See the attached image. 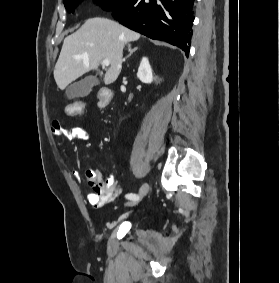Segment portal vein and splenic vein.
<instances>
[{
	"label": "portal vein and splenic vein",
	"instance_id": "obj_1",
	"mask_svg": "<svg viewBox=\"0 0 280 283\" xmlns=\"http://www.w3.org/2000/svg\"><path fill=\"white\" fill-rule=\"evenodd\" d=\"M102 64H103L104 66H109V65H110V61H109L108 59H104L103 62H102Z\"/></svg>",
	"mask_w": 280,
	"mask_h": 283
}]
</instances>
